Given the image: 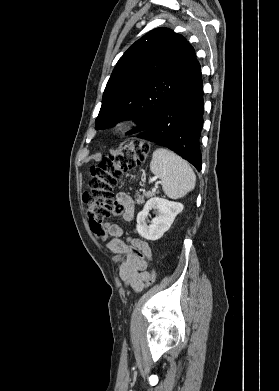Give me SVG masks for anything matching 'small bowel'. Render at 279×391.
<instances>
[{
  "label": "small bowel",
  "mask_w": 279,
  "mask_h": 391,
  "mask_svg": "<svg viewBox=\"0 0 279 391\" xmlns=\"http://www.w3.org/2000/svg\"><path fill=\"white\" fill-rule=\"evenodd\" d=\"M116 199L123 208V219L131 221L134 216V202L131 197L121 192L117 194ZM106 232L111 237L107 244L108 250L125 256L119 268L120 278L127 287L140 292L147 281L149 275L147 268L152 261V252L148 243L140 238H132L131 245L126 244L121 239L123 230L117 224H106ZM134 250L142 252L144 258H140Z\"/></svg>",
  "instance_id": "obj_1"
}]
</instances>
